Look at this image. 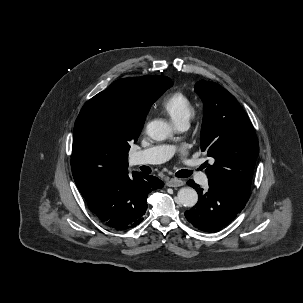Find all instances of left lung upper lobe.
Returning <instances> with one entry per match:
<instances>
[{"label": "left lung upper lobe", "instance_id": "5c2ea615", "mask_svg": "<svg viewBox=\"0 0 303 303\" xmlns=\"http://www.w3.org/2000/svg\"><path fill=\"white\" fill-rule=\"evenodd\" d=\"M204 103L201 150L213 157L205 172L209 179L249 198L259 146L254 128L243 108L219 84L198 81Z\"/></svg>", "mask_w": 303, "mask_h": 303}]
</instances>
